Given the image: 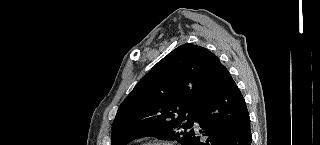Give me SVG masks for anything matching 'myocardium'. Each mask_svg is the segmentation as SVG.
<instances>
[{
    "instance_id": "1",
    "label": "myocardium",
    "mask_w": 320,
    "mask_h": 145,
    "mask_svg": "<svg viewBox=\"0 0 320 145\" xmlns=\"http://www.w3.org/2000/svg\"><path fill=\"white\" fill-rule=\"evenodd\" d=\"M142 145H170V144L164 143V142H147Z\"/></svg>"
}]
</instances>
